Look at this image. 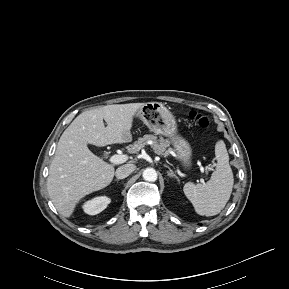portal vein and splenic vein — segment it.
Wrapping results in <instances>:
<instances>
[{"label":"portal vein and splenic vein","instance_id":"18ae733b","mask_svg":"<svg viewBox=\"0 0 289 289\" xmlns=\"http://www.w3.org/2000/svg\"><path fill=\"white\" fill-rule=\"evenodd\" d=\"M128 159L127 155H112L109 159V161L113 164H121L126 162ZM201 182H203V180H201Z\"/></svg>","mask_w":289,"mask_h":289}]
</instances>
